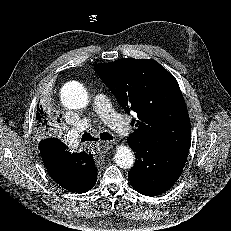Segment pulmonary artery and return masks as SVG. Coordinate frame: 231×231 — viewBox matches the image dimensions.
<instances>
[{
	"label": "pulmonary artery",
	"instance_id": "1",
	"mask_svg": "<svg viewBox=\"0 0 231 231\" xmlns=\"http://www.w3.org/2000/svg\"><path fill=\"white\" fill-rule=\"evenodd\" d=\"M92 107L103 121L118 133L127 134L130 131L129 122L113 109L109 100L103 93L98 92L94 95ZM89 124V119L83 118L77 127L72 130L71 134L87 128Z\"/></svg>",
	"mask_w": 231,
	"mask_h": 231
}]
</instances>
